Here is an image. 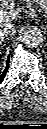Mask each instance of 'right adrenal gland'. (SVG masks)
Segmentation results:
<instances>
[{
  "label": "right adrenal gland",
  "instance_id": "obj_1",
  "mask_svg": "<svg viewBox=\"0 0 47 129\" xmlns=\"http://www.w3.org/2000/svg\"><path fill=\"white\" fill-rule=\"evenodd\" d=\"M5 41V38L4 37H0V45H2V43Z\"/></svg>",
  "mask_w": 47,
  "mask_h": 129
}]
</instances>
